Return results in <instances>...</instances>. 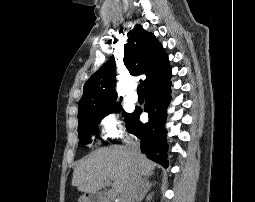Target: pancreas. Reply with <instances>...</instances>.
<instances>
[{
	"instance_id": "pancreas-1",
	"label": "pancreas",
	"mask_w": 255,
	"mask_h": 202,
	"mask_svg": "<svg viewBox=\"0 0 255 202\" xmlns=\"http://www.w3.org/2000/svg\"><path fill=\"white\" fill-rule=\"evenodd\" d=\"M104 202H111L108 198H106L105 200H104Z\"/></svg>"
}]
</instances>
